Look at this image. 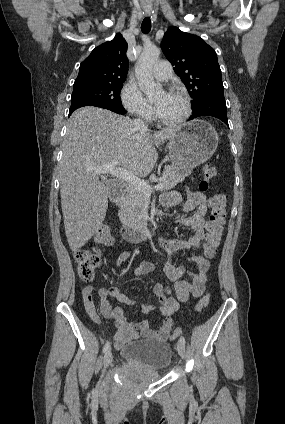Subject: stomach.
<instances>
[{
	"label": "stomach",
	"mask_w": 285,
	"mask_h": 424,
	"mask_svg": "<svg viewBox=\"0 0 285 424\" xmlns=\"http://www.w3.org/2000/svg\"><path fill=\"white\" fill-rule=\"evenodd\" d=\"M218 140L214 127L204 120H193L177 129L168 148L172 166L182 179L213 155Z\"/></svg>",
	"instance_id": "0dacf381"
}]
</instances>
